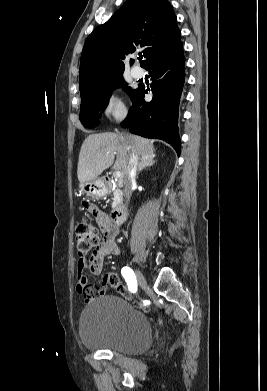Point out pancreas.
<instances>
[{
  "mask_svg": "<svg viewBox=\"0 0 267 391\" xmlns=\"http://www.w3.org/2000/svg\"><path fill=\"white\" fill-rule=\"evenodd\" d=\"M108 188L113 192V208H118L122 204L123 193L121 190L122 182H107Z\"/></svg>",
  "mask_w": 267,
  "mask_h": 391,
  "instance_id": "obj_1",
  "label": "pancreas"
}]
</instances>
